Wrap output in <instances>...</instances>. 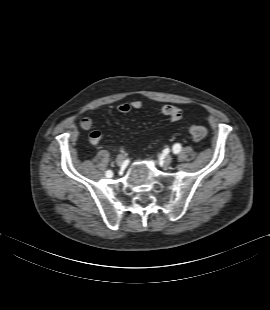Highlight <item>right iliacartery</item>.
Returning <instances> with one entry per match:
<instances>
[{
    "label": "right iliac artery",
    "instance_id": "right-iliac-artery-1",
    "mask_svg": "<svg viewBox=\"0 0 270 310\" xmlns=\"http://www.w3.org/2000/svg\"><path fill=\"white\" fill-rule=\"evenodd\" d=\"M106 175H107V177H112V176H113V173H112V171L108 170V171L106 172Z\"/></svg>",
    "mask_w": 270,
    "mask_h": 310
}]
</instances>
